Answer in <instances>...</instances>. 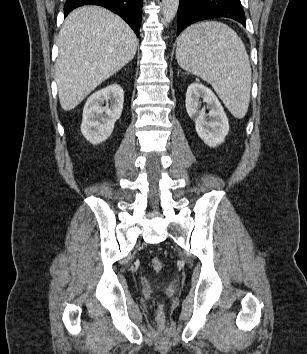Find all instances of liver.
Masks as SVG:
<instances>
[{"mask_svg":"<svg viewBox=\"0 0 307 354\" xmlns=\"http://www.w3.org/2000/svg\"><path fill=\"white\" fill-rule=\"evenodd\" d=\"M57 45L59 101L64 111H70L134 58L138 39L118 15L83 6L66 17Z\"/></svg>","mask_w":307,"mask_h":354,"instance_id":"obj_1","label":"liver"}]
</instances>
